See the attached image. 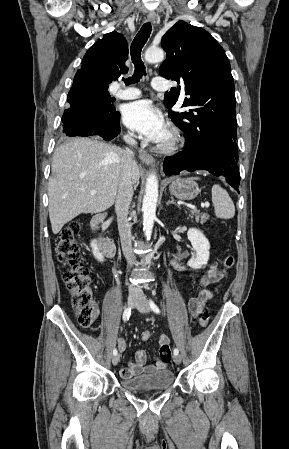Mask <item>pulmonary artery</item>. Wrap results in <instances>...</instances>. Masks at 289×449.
Returning <instances> with one entry per match:
<instances>
[{
  "label": "pulmonary artery",
  "instance_id": "pulmonary-artery-1",
  "mask_svg": "<svg viewBox=\"0 0 289 449\" xmlns=\"http://www.w3.org/2000/svg\"><path fill=\"white\" fill-rule=\"evenodd\" d=\"M152 86L156 90H165L168 87V81L163 77H155ZM113 95L118 99H134L140 96V91L136 88L120 89L115 87L112 90Z\"/></svg>",
  "mask_w": 289,
  "mask_h": 449
}]
</instances>
